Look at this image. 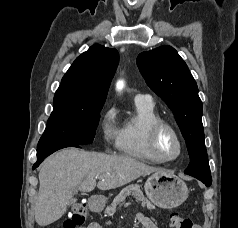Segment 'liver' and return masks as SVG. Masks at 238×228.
<instances>
[{"label":"liver","instance_id":"1","mask_svg":"<svg viewBox=\"0 0 238 228\" xmlns=\"http://www.w3.org/2000/svg\"><path fill=\"white\" fill-rule=\"evenodd\" d=\"M162 171L124 155L64 149L46 159L40 168L35 220L47 226L60 219L75 202L77 191L90 192L96 185L100 190L114 189ZM97 178L100 181L96 184Z\"/></svg>","mask_w":238,"mask_h":228}]
</instances>
